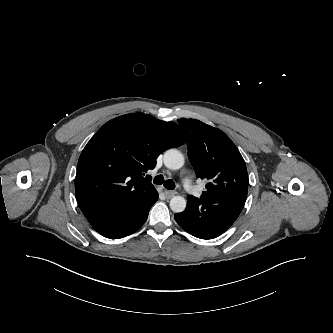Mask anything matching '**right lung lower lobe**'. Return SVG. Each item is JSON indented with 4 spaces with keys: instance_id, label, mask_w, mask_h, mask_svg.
<instances>
[{
    "instance_id": "98d812e1",
    "label": "right lung lower lobe",
    "mask_w": 333,
    "mask_h": 333,
    "mask_svg": "<svg viewBox=\"0 0 333 333\" xmlns=\"http://www.w3.org/2000/svg\"><path fill=\"white\" fill-rule=\"evenodd\" d=\"M158 193L144 204L123 211L95 212L86 215L91 226L101 235L110 239H119L137 231L146 221L152 205L157 201Z\"/></svg>"
}]
</instances>
